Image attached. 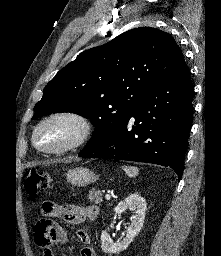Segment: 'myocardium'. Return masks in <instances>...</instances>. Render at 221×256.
Returning <instances> with one entry per match:
<instances>
[{
    "mask_svg": "<svg viewBox=\"0 0 221 256\" xmlns=\"http://www.w3.org/2000/svg\"><path fill=\"white\" fill-rule=\"evenodd\" d=\"M56 120H68L77 128L75 137L58 147H44L38 143L37 136L43 126ZM94 133V126L89 117L76 110H59L44 117L34 128L32 141L36 148L49 154H62L86 144Z\"/></svg>",
    "mask_w": 221,
    "mask_h": 256,
    "instance_id": "1",
    "label": "myocardium"
}]
</instances>
